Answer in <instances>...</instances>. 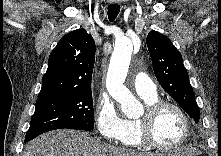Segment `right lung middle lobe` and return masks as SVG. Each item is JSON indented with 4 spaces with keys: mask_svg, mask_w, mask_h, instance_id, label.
<instances>
[{
    "mask_svg": "<svg viewBox=\"0 0 221 156\" xmlns=\"http://www.w3.org/2000/svg\"><path fill=\"white\" fill-rule=\"evenodd\" d=\"M93 115L91 90L38 98L25 141L55 129L93 130Z\"/></svg>",
    "mask_w": 221,
    "mask_h": 156,
    "instance_id": "dd1d6c3e",
    "label": "right lung middle lobe"
}]
</instances>
